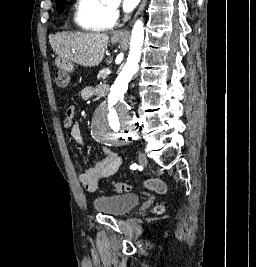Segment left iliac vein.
Instances as JSON below:
<instances>
[{"label": "left iliac vein", "mask_w": 256, "mask_h": 267, "mask_svg": "<svg viewBox=\"0 0 256 267\" xmlns=\"http://www.w3.org/2000/svg\"><path fill=\"white\" fill-rule=\"evenodd\" d=\"M139 164L145 166L147 164V157L144 153H140L138 157Z\"/></svg>", "instance_id": "4c4485c4"}]
</instances>
